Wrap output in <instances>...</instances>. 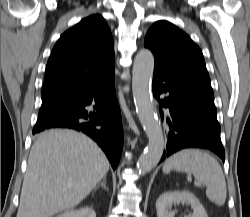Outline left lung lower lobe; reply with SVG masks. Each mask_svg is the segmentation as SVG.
Segmentation results:
<instances>
[{
    "label": "left lung lower lobe",
    "mask_w": 250,
    "mask_h": 217,
    "mask_svg": "<svg viewBox=\"0 0 250 217\" xmlns=\"http://www.w3.org/2000/svg\"><path fill=\"white\" fill-rule=\"evenodd\" d=\"M152 87L168 135L161 161L184 148H204L224 162L210 78L169 73L154 67Z\"/></svg>",
    "instance_id": "left-lung-lower-lobe-1"
}]
</instances>
